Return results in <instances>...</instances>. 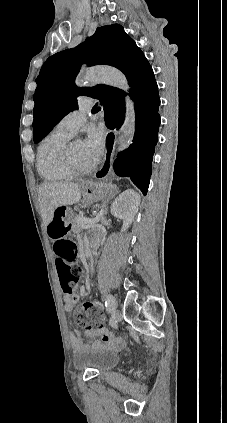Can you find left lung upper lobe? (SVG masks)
Masks as SVG:
<instances>
[{
  "label": "left lung upper lobe",
  "instance_id": "obj_1",
  "mask_svg": "<svg viewBox=\"0 0 227 423\" xmlns=\"http://www.w3.org/2000/svg\"><path fill=\"white\" fill-rule=\"evenodd\" d=\"M84 62L89 66L107 64L121 70L131 86L130 94L153 71L141 49L118 24L99 27L86 42L49 57L36 79L35 143L41 141L64 116L78 108L79 96L98 99L104 111L112 107L125 108L123 98L126 94L118 88L75 86V78Z\"/></svg>",
  "mask_w": 227,
  "mask_h": 423
}]
</instances>
